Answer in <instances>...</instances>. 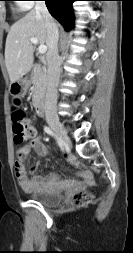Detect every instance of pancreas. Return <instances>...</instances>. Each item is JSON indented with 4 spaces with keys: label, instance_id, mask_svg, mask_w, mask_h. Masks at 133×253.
Segmentation results:
<instances>
[{
    "label": "pancreas",
    "instance_id": "pancreas-1",
    "mask_svg": "<svg viewBox=\"0 0 133 253\" xmlns=\"http://www.w3.org/2000/svg\"><path fill=\"white\" fill-rule=\"evenodd\" d=\"M31 92H32V100L34 103H37L40 98L45 93V88L47 84V74L45 67H41L37 65L34 67L31 73Z\"/></svg>",
    "mask_w": 133,
    "mask_h": 253
}]
</instances>
